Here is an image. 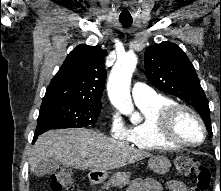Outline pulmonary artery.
<instances>
[{
	"mask_svg": "<svg viewBox=\"0 0 221 191\" xmlns=\"http://www.w3.org/2000/svg\"><path fill=\"white\" fill-rule=\"evenodd\" d=\"M131 93L136 104L149 102L157 96L151 87L141 82L134 83Z\"/></svg>",
	"mask_w": 221,
	"mask_h": 191,
	"instance_id": "e3ab8cb5",
	"label": "pulmonary artery"
}]
</instances>
